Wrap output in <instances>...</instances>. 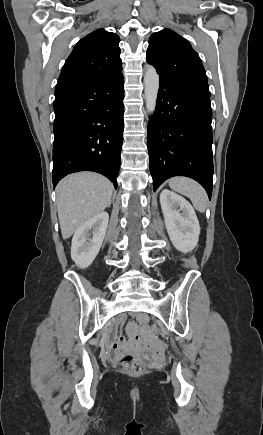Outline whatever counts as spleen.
I'll return each mask as SVG.
<instances>
[{"mask_svg": "<svg viewBox=\"0 0 263 435\" xmlns=\"http://www.w3.org/2000/svg\"><path fill=\"white\" fill-rule=\"evenodd\" d=\"M169 186L174 191L190 198L196 210L199 212H205L207 206V194L198 182L186 177H175L169 180Z\"/></svg>", "mask_w": 263, "mask_h": 435, "instance_id": "1", "label": "spleen"}]
</instances>
